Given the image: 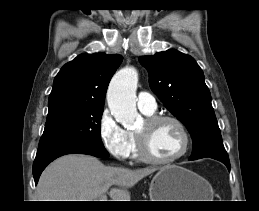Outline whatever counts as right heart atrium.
<instances>
[{
    "instance_id": "1",
    "label": "right heart atrium",
    "mask_w": 259,
    "mask_h": 211,
    "mask_svg": "<svg viewBox=\"0 0 259 211\" xmlns=\"http://www.w3.org/2000/svg\"><path fill=\"white\" fill-rule=\"evenodd\" d=\"M98 134L103 147L117 160H125L130 155L129 132L123 129L111 112L102 110L98 121Z\"/></svg>"
}]
</instances>
